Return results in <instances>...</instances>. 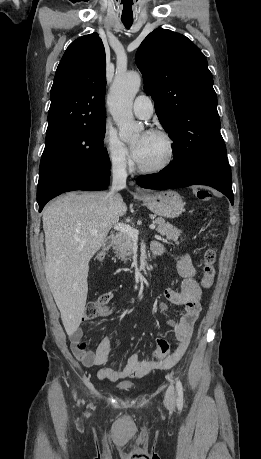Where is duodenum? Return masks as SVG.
I'll return each mask as SVG.
<instances>
[{
	"mask_svg": "<svg viewBox=\"0 0 261 459\" xmlns=\"http://www.w3.org/2000/svg\"><path fill=\"white\" fill-rule=\"evenodd\" d=\"M114 240V235H109L103 243V249H108L113 244ZM150 250L153 255H159L162 251L161 244L159 242H152Z\"/></svg>",
	"mask_w": 261,
	"mask_h": 459,
	"instance_id": "obj_1",
	"label": "duodenum"
}]
</instances>
